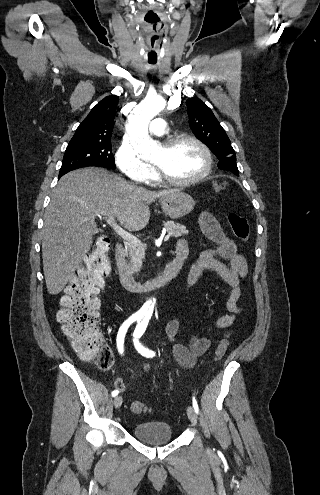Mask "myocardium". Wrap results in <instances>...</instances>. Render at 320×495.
Segmentation results:
<instances>
[{
    "instance_id": "obj_1",
    "label": "myocardium",
    "mask_w": 320,
    "mask_h": 495,
    "mask_svg": "<svg viewBox=\"0 0 320 495\" xmlns=\"http://www.w3.org/2000/svg\"><path fill=\"white\" fill-rule=\"evenodd\" d=\"M183 142L193 143L200 149V151L202 152L204 159H205V166H204L203 171L193 178L174 179V178L168 176L160 167H158L157 165L154 164V167H155L156 171L158 172L160 179L163 182L168 183L170 185H174V186L195 185V184L203 181L210 174V172L212 170L213 158H212V154H211L209 148L201 140H199L198 138H196L194 136L179 135V136L171 137L170 139H168L163 144V147L166 149H170V148H172V147H174L180 143H183Z\"/></svg>"
}]
</instances>
